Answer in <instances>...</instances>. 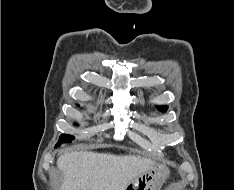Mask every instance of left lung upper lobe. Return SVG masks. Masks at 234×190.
Instances as JSON below:
<instances>
[{
    "mask_svg": "<svg viewBox=\"0 0 234 190\" xmlns=\"http://www.w3.org/2000/svg\"><path fill=\"white\" fill-rule=\"evenodd\" d=\"M160 108V110H162V111H166L167 110V107L166 106H161V107H159Z\"/></svg>",
    "mask_w": 234,
    "mask_h": 190,
    "instance_id": "obj_1",
    "label": "left lung upper lobe"
}]
</instances>
